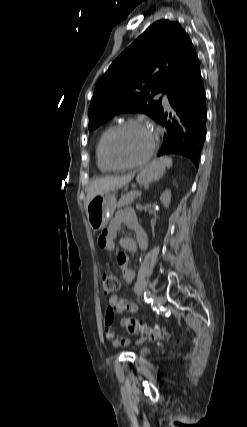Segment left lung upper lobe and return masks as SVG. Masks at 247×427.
<instances>
[{
	"mask_svg": "<svg viewBox=\"0 0 247 427\" xmlns=\"http://www.w3.org/2000/svg\"><path fill=\"white\" fill-rule=\"evenodd\" d=\"M196 51L178 22L159 20L140 35L95 86L88 110L89 130L118 113L141 112L157 120L163 110L152 97L190 75Z\"/></svg>",
	"mask_w": 247,
	"mask_h": 427,
	"instance_id": "5c2ea615",
	"label": "left lung upper lobe"
}]
</instances>
